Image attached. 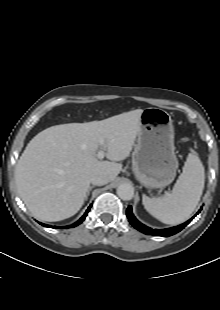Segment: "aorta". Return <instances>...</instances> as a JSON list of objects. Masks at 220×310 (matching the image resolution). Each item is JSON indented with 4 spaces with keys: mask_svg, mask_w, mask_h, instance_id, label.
Listing matches in <instances>:
<instances>
[{
    "mask_svg": "<svg viewBox=\"0 0 220 310\" xmlns=\"http://www.w3.org/2000/svg\"><path fill=\"white\" fill-rule=\"evenodd\" d=\"M117 195L125 201L131 200L134 196V188L128 183H124L118 186Z\"/></svg>",
    "mask_w": 220,
    "mask_h": 310,
    "instance_id": "aorta-1",
    "label": "aorta"
}]
</instances>
